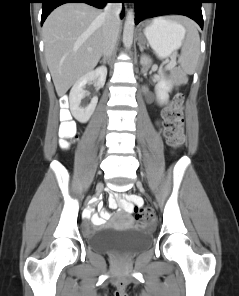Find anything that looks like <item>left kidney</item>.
<instances>
[{"instance_id":"left-kidney-1","label":"left kidney","mask_w":239,"mask_h":296,"mask_svg":"<svg viewBox=\"0 0 239 296\" xmlns=\"http://www.w3.org/2000/svg\"><path fill=\"white\" fill-rule=\"evenodd\" d=\"M141 63L142 64H147L148 63V57L142 56L141 58ZM160 78L159 81L155 87V93L157 96V100L159 103H165L169 96L168 92L171 91L172 84L171 82L166 78L165 74L162 71L158 72Z\"/></svg>"}]
</instances>
